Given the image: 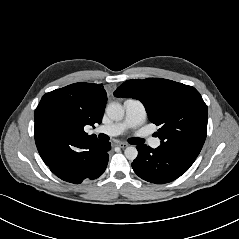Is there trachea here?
<instances>
[{
    "label": "trachea",
    "mask_w": 239,
    "mask_h": 239,
    "mask_svg": "<svg viewBox=\"0 0 239 239\" xmlns=\"http://www.w3.org/2000/svg\"><path fill=\"white\" fill-rule=\"evenodd\" d=\"M101 138H102V140H106L105 137H103V136ZM131 143L134 144V145L142 144V143H144V139H142V138H132Z\"/></svg>",
    "instance_id": "trachea-1"
}]
</instances>
